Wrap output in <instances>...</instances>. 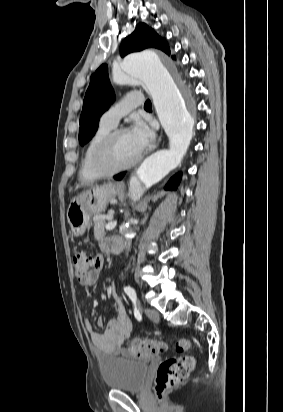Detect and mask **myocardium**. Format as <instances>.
Wrapping results in <instances>:
<instances>
[{
    "instance_id": "obj_1",
    "label": "myocardium",
    "mask_w": 283,
    "mask_h": 412,
    "mask_svg": "<svg viewBox=\"0 0 283 412\" xmlns=\"http://www.w3.org/2000/svg\"><path fill=\"white\" fill-rule=\"evenodd\" d=\"M128 130L126 128L120 127L111 130L99 143L94 155H93V166L97 170L100 176H110L118 172L127 170L134 165H136L142 157L139 153L132 161L127 164L115 166L110 162V153L116 138Z\"/></svg>"
}]
</instances>
